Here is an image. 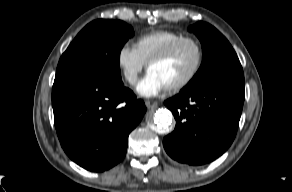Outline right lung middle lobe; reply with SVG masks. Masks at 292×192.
I'll return each instance as SVG.
<instances>
[{
	"label": "right lung middle lobe",
	"mask_w": 292,
	"mask_h": 192,
	"mask_svg": "<svg viewBox=\"0 0 292 192\" xmlns=\"http://www.w3.org/2000/svg\"><path fill=\"white\" fill-rule=\"evenodd\" d=\"M133 28L120 20H95L85 26L61 56L57 70H80L121 82L119 54L133 36Z\"/></svg>",
	"instance_id": "dd1d6c3e"
}]
</instances>
